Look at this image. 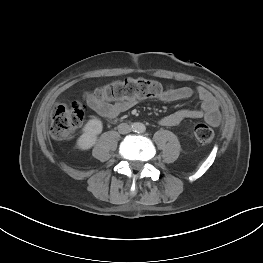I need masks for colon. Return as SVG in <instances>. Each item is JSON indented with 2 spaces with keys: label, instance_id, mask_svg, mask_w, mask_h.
Here are the masks:
<instances>
[{
  "label": "colon",
  "instance_id": "5ec220e1",
  "mask_svg": "<svg viewBox=\"0 0 263 263\" xmlns=\"http://www.w3.org/2000/svg\"><path fill=\"white\" fill-rule=\"evenodd\" d=\"M167 90L161 83L145 78H127L112 82L95 94L108 101H123L156 98ZM86 117V108L79 102L70 105L55 106L51 113V134L55 139H68L82 125ZM194 135L201 143H210L214 132L205 123H198L194 127Z\"/></svg>",
  "mask_w": 263,
  "mask_h": 263
}]
</instances>
